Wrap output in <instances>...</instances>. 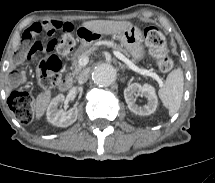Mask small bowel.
<instances>
[{
    "mask_svg": "<svg viewBox=\"0 0 215 183\" xmlns=\"http://www.w3.org/2000/svg\"><path fill=\"white\" fill-rule=\"evenodd\" d=\"M66 29L72 30L71 24L60 20H44L41 22H35L25 31L23 39L30 40L39 33L47 32L49 34H53L57 31ZM22 82L23 77L15 74L11 79V86L16 87Z\"/></svg>",
    "mask_w": 215,
    "mask_h": 183,
    "instance_id": "small-bowel-1",
    "label": "small bowel"
}]
</instances>
